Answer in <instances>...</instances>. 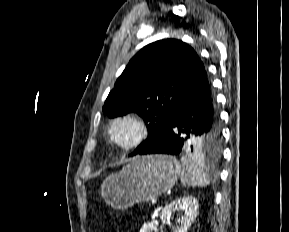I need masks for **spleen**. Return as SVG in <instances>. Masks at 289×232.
Segmentation results:
<instances>
[{"mask_svg":"<svg viewBox=\"0 0 289 232\" xmlns=\"http://www.w3.org/2000/svg\"><path fill=\"white\" fill-rule=\"evenodd\" d=\"M180 179L183 185L204 187L209 185L207 175L200 164L183 157L181 159Z\"/></svg>","mask_w":289,"mask_h":232,"instance_id":"spleen-1","label":"spleen"}]
</instances>
